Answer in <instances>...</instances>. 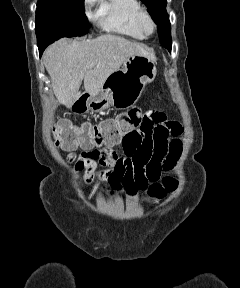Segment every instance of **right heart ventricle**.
<instances>
[{"instance_id": "obj_1", "label": "right heart ventricle", "mask_w": 240, "mask_h": 288, "mask_svg": "<svg viewBox=\"0 0 240 288\" xmlns=\"http://www.w3.org/2000/svg\"><path fill=\"white\" fill-rule=\"evenodd\" d=\"M141 8L139 0H101L99 25L107 32L144 39L145 36L135 25L136 14Z\"/></svg>"}]
</instances>
